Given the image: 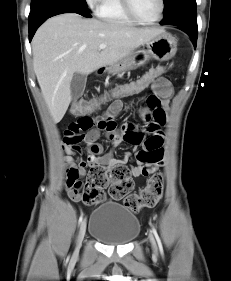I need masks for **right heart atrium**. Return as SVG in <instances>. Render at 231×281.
<instances>
[{"label": "right heart atrium", "instance_id": "obj_1", "mask_svg": "<svg viewBox=\"0 0 231 281\" xmlns=\"http://www.w3.org/2000/svg\"><path fill=\"white\" fill-rule=\"evenodd\" d=\"M103 0H85L86 4L93 10H98Z\"/></svg>", "mask_w": 231, "mask_h": 281}]
</instances>
